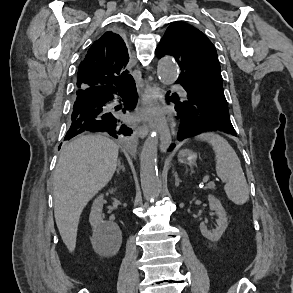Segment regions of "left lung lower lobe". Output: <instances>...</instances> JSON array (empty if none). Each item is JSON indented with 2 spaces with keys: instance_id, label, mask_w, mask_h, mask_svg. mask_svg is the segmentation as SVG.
<instances>
[{
  "instance_id": "0a47b994",
  "label": "left lung lower lobe",
  "mask_w": 293,
  "mask_h": 293,
  "mask_svg": "<svg viewBox=\"0 0 293 293\" xmlns=\"http://www.w3.org/2000/svg\"><path fill=\"white\" fill-rule=\"evenodd\" d=\"M175 103L177 117L181 119L180 130L177 138L182 141L185 138L207 131H224L237 136L230 121L229 113L222 108L207 107L205 103L187 94L183 99L176 94L169 97ZM174 145L170 147L172 149Z\"/></svg>"
}]
</instances>
